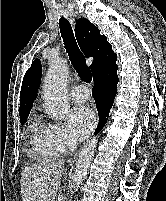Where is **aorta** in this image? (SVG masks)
I'll list each match as a JSON object with an SVG mask.
<instances>
[{
  "instance_id": "aorta-1",
  "label": "aorta",
  "mask_w": 166,
  "mask_h": 201,
  "mask_svg": "<svg viewBox=\"0 0 166 201\" xmlns=\"http://www.w3.org/2000/svg\"><path fill=\"white\" fill-rule=\"evenodd\" d=\"M68 66L64 59L54 61L44 78V102L47 113L56 120H64L68 111L66 97ZM97 140L89 141L79 152L74 175V191L86 178L92 158L96 151Z\"/></svg>"
}]
</instances>
